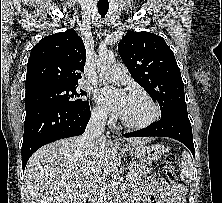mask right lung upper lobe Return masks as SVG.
I'll list each match as a JSON object with an SVG mask.
<instances>
[{"mask_svg":"<svg viewBox=\"0 0 222 203\" xmlns=\"http://www.w3.org/2000/svg\"><path fill=\"white\" fill-rule=\"evenodd\" d=\"M86 50L74 29L47 36L31 50L26 92L42 87L78 85Z\"/></svg>","mask_w":222,"mask_h":203,"instance_id":"1","label":"right lung upper lobe"}]
</instances>
